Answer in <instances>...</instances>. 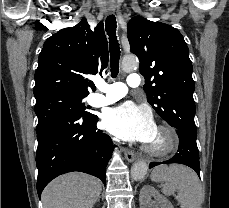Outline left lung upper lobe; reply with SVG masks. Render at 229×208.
Here are the masks:
<instances>
[{
	"instance_id": "5c2ea615",
	"label": "left lung upper lobe",
	"mask_w": 229,
	"mask_h": 208,
	"mask_svg": "<svg viewBox=\"0 0 229 208\" xmlns=\"http://www.w3.org/2000/svg\"><path fill=\"white\" fill-rule=\"evenodd\" d=\"M131 52L140 60L147 101L176 130L194 129L195 83L189 49L174 27L141 16L128 23Z\"/></svg>"
}]
</instances>
